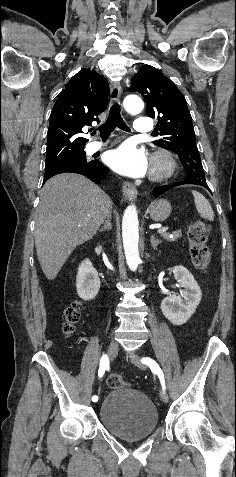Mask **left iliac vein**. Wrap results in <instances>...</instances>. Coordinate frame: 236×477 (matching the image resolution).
<instances>
[{
    "instance_id": "1",
    "label": "left iliac vein",
    "mask_w": 236,
    "mask_h": 477,
    "mask_svg": "<svg viewBox=\"0 0 236 477\" xmlns=\"http://www.w3.org/2000/svg\"><path fill=\"white\" fill-rule=\"evenodd\" d=\"M131 360L140 369H142V370L146 369V366L139 361V358L136 354L133 353L131 355ZM161 398H162L163 402H165V403L168 402V395L166 394V392L164 390L161 391Z\"/></svg>"
}]
</instances>
